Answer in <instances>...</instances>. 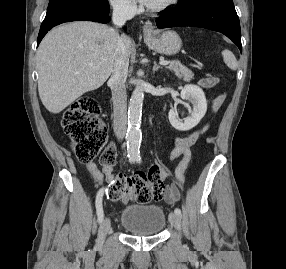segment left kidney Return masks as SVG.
<instances>
[{"instance_id":"obj_1","label":"left kidney","mask_w":286,"mask_h":269,"mask_svg":"<svg viewBox=\"0 0 286 269\" xmlns=\"http://www.w3.org/2000/svg\"><path fill=\"white\" fill-rule=\"evenodd\" d=\"M181 98L188 100L192 104V110L187 118L181 120L178 118L176 108L168 113L171 125L179 131H188L194 128L204 117L207 111V101L203 90L196 85H185L181 90Z\"/></svg>"}]
</instances>
